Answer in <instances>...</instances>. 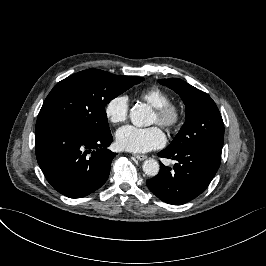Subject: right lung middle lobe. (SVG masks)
<instances>
[{
    "mask_svg": "<svg viewBox=\"0 0 266 266\" xmlns=\"http://www.w3.org/2000/svg\"><path fill=\"white\" fill-rule=\"evenodd\" d=\"M144 78L87 69L58 82L39 112L35 133L66 124L90 134L110 132L105 106Z\"/></svg>",
    "mask_w": 266,
    "mask_h": 266,
    "instance_id": "1",
    "label": "right lung middle lobe"
}]
</instances>
